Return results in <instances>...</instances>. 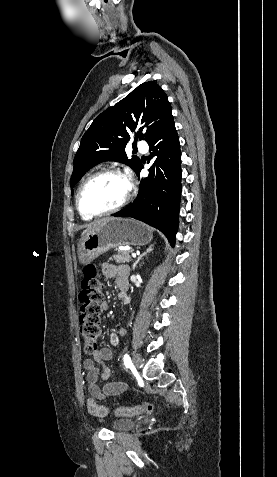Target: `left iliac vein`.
<instances>
[{"instance_id":"left-iliac-vein-1","label":"left iliac vein","mask_w":277,"mask_h":477,"mask_svg":"<svg viewBox=\"0 0 277 477\" xmlns=\"http://www.w3.org/2000/svg\"><path fill=\"white\" fill-rule=\"evenodd\" d=\"M132 360H133V364H134L135 368L139 369L140 366H141V362H142L141 355L138 354V353L134 354Z\"/></svg>"}]
</instances>
